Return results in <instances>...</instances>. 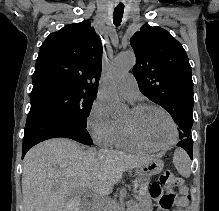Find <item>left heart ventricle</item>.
<instances>
[{
  "mask_svg": "<svg viewBox=\"0 0 219 211\" xmlns=\"http://www.w3.org/2000/svg\"><path fill=\"white\" fill-rule=\"evenodd\" d=\"M124 121L132 123L143 139L152 145L163 146L173 138V129L168 117L156 108L129 110Z\"/></svg>",
  "mask_w": 219,
  "mask_h": 211,
  "instance_id": "b2bd125f",
  "label": "left heart ventricle"
}]
</instances>
